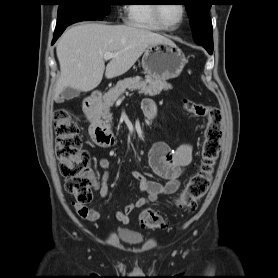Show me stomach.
I'll use <instances>...</instances> for the list:
<instances>
[{"label": "stomach", "instance_id": "0dacf381", "mask_svg": "<svg viewBox=\"0 0 278 278\" xmlns=\"http://www.w3.org/2000/svg\"><path fill=\"white\" fill-rule=\"evenodd\" d=\"M186 62L182 50L170 40L149 45L142 57L147 76L162 80L178 77Z\"/></svg>", "mask_w": 278, "mask_h": 278}]
</instances>
